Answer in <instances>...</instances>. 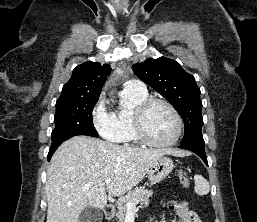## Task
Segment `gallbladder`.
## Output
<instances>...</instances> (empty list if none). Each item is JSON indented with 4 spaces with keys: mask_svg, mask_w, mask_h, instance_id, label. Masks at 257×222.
<instances>
[{
    "mask_svg": "<svg viewBox=\"0 0 257 222\" xmlns=\"http://www.w3.org/2000/svg\"><path fill=\"white\" fill-rule=\"evenodd\" d=\"M103 213L99 208L86 206L79 215L78 222H102Z\"/></svg>",
    "mask_w": 257,
    "mask_h": 222,
    "instance_id": "obj_1",
    "label": "gallbladder"
}]
</instances>
